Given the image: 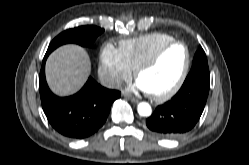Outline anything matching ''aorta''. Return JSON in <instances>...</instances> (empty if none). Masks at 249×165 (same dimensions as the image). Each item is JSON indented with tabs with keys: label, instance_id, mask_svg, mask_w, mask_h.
<instances>
[{
	"label": "aorta",
	"instance_id": "762f6f07",
	"mask_svg": "<svg viewBox=\"0 0 249 165\" xmlns=\"http://www.w3.org/2000/svg\"><path fill=\"white\" fill-rule=\"evenodd\" d=\"M137 111L140 116H150L152 113L151 106L147 102H141L137 106Z\"/></svg>",
	"mask_w": 249,
	"mask_h": 165
}]
</instances>
